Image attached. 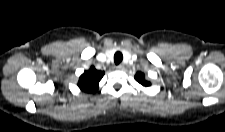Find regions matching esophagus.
<instances>
[{"instance_id":"34e87169","label":"esophagus","mask_w":225,"mask_h":132,"mask_svg":"<svg viewBox=\"0 0 225 132\" xmlns=\"http://www.w3.org/2000/svg\"><path fill=\"white\" fill-rule=\"evenodd\" d=\"M116 69L121 71L124 69V65L119 64L118 66H116Z\"/></svg>"}]
</instances>
